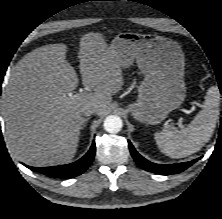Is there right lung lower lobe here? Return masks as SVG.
<instances>
[{"mask_svg": "<svg viewBox=\"0 0 222 219\" xmlns=\"http://www.w3.org/2000/svg\"><path fill=\"white\" fill-rule=\"evenodd\" d=\"M95 152L96 146L95 142H93L90 150L81 159L71 164L43 168L25 166L33 171L40 172L52 178H73L85 172L92 163Z\"/></svg>", "mask_w": 222, "mask_h": 219, "instance_id": "right-lung-lower-lobe-1", "label": "right lung lower lobe"}]
</instances>
